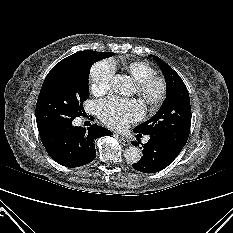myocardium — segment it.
Returning <instances> with one entry per match:
<instances>
[{"instance_id": "f54148a6", "label": "myocardium", "mask_w": 233, "mask_h": 233, "mask_svg": "<svg viewBox=\"0 0 233 233\" xmlns=\"http://www.w3.org/2000/svg\"><path fill=\"white\" fill-rule=\"evenodd\" d=\"M138 92L150 107L156 108L166 97L167 85L162 78L153 76L138 83Z\"/></svg>"}]
</instances>
